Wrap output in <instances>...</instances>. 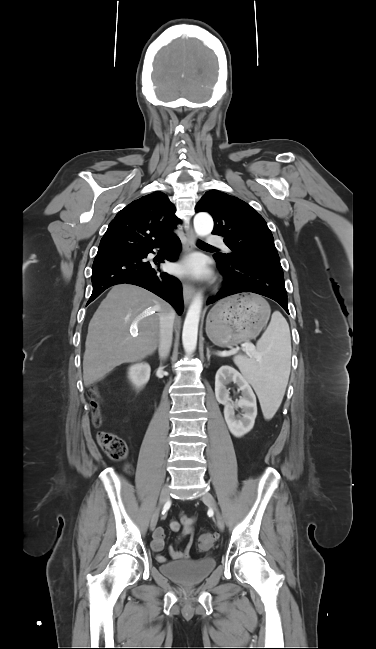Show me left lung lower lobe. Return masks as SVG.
Returning <instances> with one entry per match:
<instances>
[{
    "label": "left lung lower lobe",
    "mask_w": 376,
    "mask_h": 649,
    "mask_svg": "<svg viewBox=\"0 0 376 649\" xmlns=\"http://www.w3.org/2000/svg\"><path fill=\"white\" fill-rule=\"evenodd\" d=\"M215 260L224 280L221 290L208 303H215L233 294L252 292L275 300L289 314L283 274L255 263L229 265Z\"/></svg>",
    "instance_id": "left-lung-lower-lobe-1"
}]
</instances>
